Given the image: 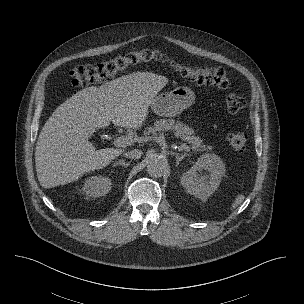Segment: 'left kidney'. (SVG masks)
I'll use <instances>...</instances> for the list:
<instances>
[{"mask_svg":"<svg viewBox=\"0 0 304 304\" xmlns=\"http://www.w3.org/2000/svg\"><path fill=\"white\" fill-rule=\"evenodd\" d=\"M224 175L225 164L220 157L205 154L187 172L183 173L181 183L188 193L206 200L217 190Z\"/></svg>","mask_w":304,"mask_h":304,"instance_id":"obj_1","label":"left kidney"}]
</instances>
